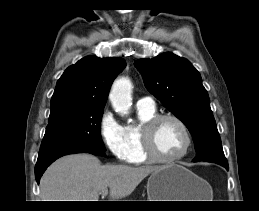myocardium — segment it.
Here are the masks:
<instances>
[{
  "label": "myocardium",
  "instance_id": "myocardium-1",
  "mask_svg": "<svg viewBox=\"0 0 259 211\" xmlns=\"http://www.w3.org/2000/svg\"><path fill=\"white\" fill-rule=\"evenodd\" d=\"M164 120H172L175 123H177L182 129V132L186 139V143L183 150L178 155L170 158L160 156L156 152L155 146H154L155 129ZM141 142H142V148H143L144 154L146 155L149 161L169 164V163H174L181 160L183 157H185L188 154L192 146V135L190 133L188 126L180 117L170 113L157 114L142 124Z\"/></svg>",
  "mask_w": 259,
  "mask_h": 211
}]
</instances>
